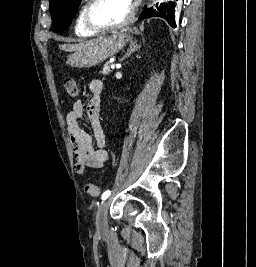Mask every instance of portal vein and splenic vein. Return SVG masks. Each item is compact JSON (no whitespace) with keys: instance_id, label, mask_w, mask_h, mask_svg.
Listing matches in <instances>:
<instances>
[{"instance_id":"18ae733b","label":"portal vein and splenic vein","mask_w":256,"mask_h":267,"mask_svg":"<svg viewBox=\"0 0 256 267\" xmlns=\"http://www.w3.org/2000/svg\"><path fill=\"white\" fill-rule=\"evenodd\" d=\"M110 67L112 68V70H114V68H115V64H114V63H111V64H110Z\"/></svg>"}]
</instances>
